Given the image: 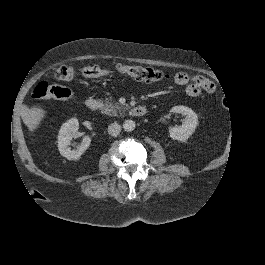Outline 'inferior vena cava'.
Masks as SVG:
<instances>
[{
  "instance_id": "obj_1",
  "label": "inferior vena cava",
  "mask_w": 265,
  "mask_h": 265,
  "mask_svg": "<svg viewBox=\"0 0 265 265\" xmlns=\"http://www.w3.org/2000/svg\"><path fill=\"white\" fill-rule=\"evenodd\" d=\"M120 131H121V126L117 122L110 124L108 127V133L111 136H117L120 133Z\"/></svg>"
}]
</instances>
